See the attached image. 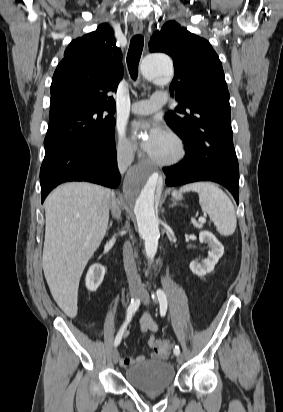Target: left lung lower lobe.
Instances as JSON below:
<instances>
[{"instance_id":"1","label":"left lung lower lobe","mask_w":283,"mask_h":412,"mask_svg":"<svg viewBox=\"0 0 283 412\" xmlns=\"http://www.w3.org/2000/svg\"><path fill=\"white\" fill-rule=\"evenodd\" d=\"M182 139L186 156L181 163L163 169L166 184L177 186L195 181H214L226 187L238 204L239 172L223 169L212 161L194 135L186 134Z\"/></svg>"}]
</instances>
